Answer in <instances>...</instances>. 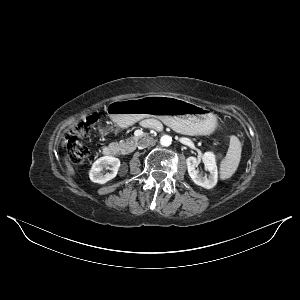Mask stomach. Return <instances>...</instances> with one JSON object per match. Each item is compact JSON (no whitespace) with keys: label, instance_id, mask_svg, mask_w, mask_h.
<instances>
[{"label":"stomach","instance_id":"obj_1","mask_svg":"<svg viewBox=\"0 0 300 300\" xmlns=\"http://www.w3.org/2000/svg\"><path fill=\"white\" fill-rule=\"evenodd\" d=\"M108 116L119 127L154 117L188 135H210L218 126L216 115L195 103L167 95L118 100L107 107Z\"/></svg>","mask_w":300,"mask_h":300}]
</instances>
